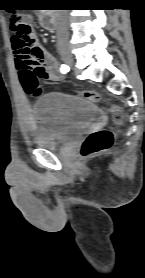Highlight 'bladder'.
Listing matches in <instances>:
<instances>
[{
	"instance_id": "1",
	"label": "bladder",
	"mask_w": 145,
	"mask_h": 278,
	"mask_svg": "<svg viewBox=\"0 0 145 278\" xmlns=\"http://www.w3.org/2000/svg\"><path fill=\"white\" fill-rule=\"evenodd\" d=\"M34 145L54 150L75 140L92 124L99 111L93 101L63 92H51L35 103Z\"/></svg>"
}]
</instances>
